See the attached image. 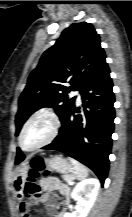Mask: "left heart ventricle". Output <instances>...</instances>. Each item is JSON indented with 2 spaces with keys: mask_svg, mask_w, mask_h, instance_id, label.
I'll return each instance as SVG.
<instances>
[{
  "mask_svg": "<svg viewBox=\"0 0 132 217\" xmlns=\"http://www.w3.org/2000/svg\"><path fill=\"white\" fill-rule=\"evenodd\" d=\"M52 130V122L47 116H39L25 130L23 145L33 148L48 138Z\"/></svg>",
  "mask_w": 132,
  "mask_h": 217,
  "instance_id": "b2bd125f",
  "label": "left heart ventricle"
}]
</instances>
